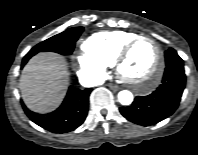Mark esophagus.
Listing matches in <instances>:
<instances>
[{
	"instance_id": "esophagus-1",
	"label": "esophagus",
	"mask_w": 198,
	"mask_h": 155,
	"mask_svg": "<svg viewBox=\"0 0 198 155\" xmlns=\"http://www.w3.org/2000/svg\"><path fill=\"white\" fill-rule=\"evenodd\" d=\"M108 86H109L110 89H112L114 91H118L120 89L119 86L111 84V83H109Z\"/></svg>"
}]
</instances>
